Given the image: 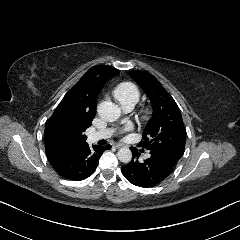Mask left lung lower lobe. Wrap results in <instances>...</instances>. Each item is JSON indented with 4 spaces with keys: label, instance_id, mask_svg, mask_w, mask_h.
<instances>
[{
    "label": "left lung lower lobe",
    "instance_id": "0a47b994",
    "mask_svg": "<svg viewBox=\"0 0 240 240\" xmlns=\"http://www.w3.org/2000/svg\"><path fill=\"white\" fill-rule=\"evenodd\" d=\"M133 159L122 167L125 178L133 185L139 187H153L161 183L173 170L176 162L165 157L157 150L150 151V158L139 161V153L134 147L130 148Z\"/></svg>",
    "mask_w": 240,
    "mask_h": 240
}]
</instances>
